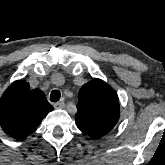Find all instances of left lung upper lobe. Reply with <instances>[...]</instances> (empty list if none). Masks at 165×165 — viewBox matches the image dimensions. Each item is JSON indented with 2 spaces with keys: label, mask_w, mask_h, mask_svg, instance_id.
I'll return each instance as SVG.
<instances>
[{
  "label": "left lung upper lobe",
  "mask_w": 165,
  "mask_h": 165,
  "mask_svg": "<svg viewBox=\"0 0 165 165\" xmlns=\"http://www.w3.org/2000/svg\"><path fill=\"white\" fill-rule=\"evenodd\" d=\"M77 127L92 138L109 133L119 120L117 93L101 79L84 84L78 94Z\"/></svg>",
  "instance_id": "5c2ea615"
}]
</instances>
